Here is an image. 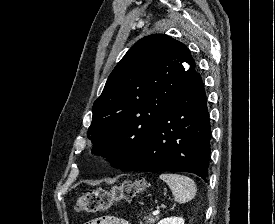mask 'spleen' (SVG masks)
<instances>
[{
	"mask_svg": "<svg viewBox=\"0 0 275 224\" xmlns=\"http://www.w3.org/2000/svg\"><path fill=\"white\" fill-rule=\"evenodd\" d=\"M160 179L165 181L178 203H186L192 200L197 192L195 182L184 175L163 173Z\"/></svg>",
	"mask_w": 275,
	"mask_h": 224,
	"instance_id": "1",
	"label": "spleen"
}]
</instances>
